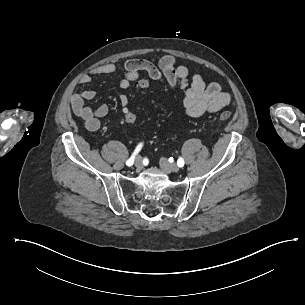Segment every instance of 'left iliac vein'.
Here are the masks:
<instances>
[{
  "label": "left iliac vein",
  "mask_w": 305,
  "mask_h": 305,
  "mask_svg": "<svg viewBox=\"0 0 305 305\" xmlns=\"http://www.w3.org/2000/svg\"><path fill=\"white\" fill-rule=\"evenodd\" d=\"M159 165H160V168L167 174L172 173V172H178L180 169L178 165L168 163L165 158L160 159Z\"/></svg>",
  "instance_id": "left-iliac-vein-1"
}]
</instances>
